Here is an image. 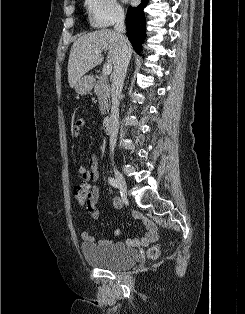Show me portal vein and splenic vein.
Returning a JSON list of instances; mask_svg holds the SVG:
<instances>
[{"mask_svg": "<svg viewBox=\"0 0 245 314\" xmlns=\"http://www.w3.org/2000/svg\"><path fill=\"white\" fill-rule=\"evenodd\" d=\"M101 52H102L101 50L94 51L95 54H100ZM111 71H112V64L111 63H107L103 66V70H102L103 76L110 75Z\"/></svg>", "mask_w": 245, "mask_h": 314, "instance_id": "18ae733b", "label": "portal vein and splenic vein"}]
</instances>
